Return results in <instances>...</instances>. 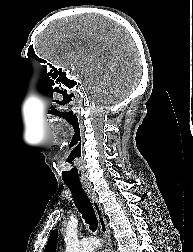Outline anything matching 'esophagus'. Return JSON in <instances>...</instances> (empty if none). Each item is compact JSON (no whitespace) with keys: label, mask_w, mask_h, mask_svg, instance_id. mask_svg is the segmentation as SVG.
Masks as SVG:
<instances>
[{"label":"esophagus","mask_w":193,"mask_h":252,"mask_svg":"<svg viewBox=\"0 0 193 252\" xmlns=\"http://www.w3.org/2000/svg\"><path fill=\"white\" fill-rule=\"evenodd\" d=\"M85 192L87 193L88 198L90 199L92 206L94 208L99 228L101 233L103 234L106 241L107 252H113L112 250V241H111V232L107 225V221L105 219L102 206L100 205L98 198L90 184H83Z\"/></svg>","instance_id":"1"}]
</instances>
